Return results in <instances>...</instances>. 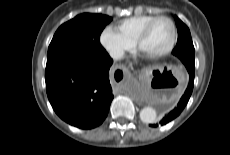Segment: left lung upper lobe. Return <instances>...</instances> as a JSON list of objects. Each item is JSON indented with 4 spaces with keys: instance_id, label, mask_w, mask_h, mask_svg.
<instances>
[{
    "instance_id": "1",
    "label": "left lung upper lobe",
    "mask_w": 230,
    "mask_h": 155,
    "mask_svg": "<svg viewBox=\"0 0 230 155\" xmlns=\"http://www.w3.org/2000/svg\"><path fill=\"white\" fill-rule=\"evenodd\" d=\"M175 21L178 31V41L172 53L178 58L180 55H186L190 59L194 60V46L189 28L176 15Z\"/></svg>"
}]
</instances>
